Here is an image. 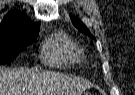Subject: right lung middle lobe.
Instances as JSON below:
<instances>
[{
  "instance_id": "right-lung-middle-lobe-1",
  "label": "right lung middle lobe",
  "mask_w": 135,
  "mask_h": 95,
  "mask_svg": "<svg viewBox=\"0 0 135 95\" xmlns=\"http://www.w3.org/2000/svg\"><path fill=\"white\" fill-rule=\"evenodd\" d=\"M38 33L13 32L0 36V65L10 63L25 47L34 42Z\"/></svg>"
}]
</instances>
